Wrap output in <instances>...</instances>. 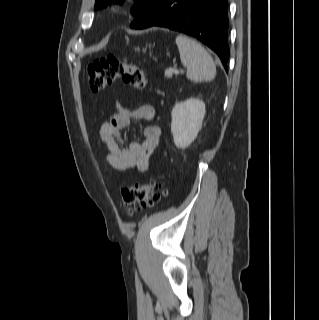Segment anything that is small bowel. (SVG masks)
<instances>
[{"label": "small bowel", "instance_id": "small-bowel-1", "mask_svg": "<svg viewBox=\"0 0 319 320\" xmlns=\"http://www.w3.org/2000/svg\"><path fill=\"white\" fill-rule=\"evenodd\" d=\"M155 116V110L150 105H140L128 109L117 104V111L110 116L107 122L100 125L99 139L107 146L105 163L114 171H126L137 167L146 171L149 160L156 151L161 138V129L158 125L150 124L144 128L141 142H132L125 145L121 131L128 127L132 120L150 121Z\"/></svg>", "mask_w": 319, "mask_h": 320}]
</instances>
